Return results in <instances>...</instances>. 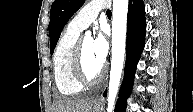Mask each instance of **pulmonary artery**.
Here are the masks:
<instances>
[{
  "label": "pulmonary artery",
  "instance_id": "e3ab8cb5",
  "mask_svg": "<svg viewBox=\"0 0 193 112\" xmlns=\"http://www.w3.org/2000/svg\"><path fill=\"white\" fill-rule=\"evenodd\" d=\"M109 3L104 0H93L85 5L70 21L69 25L79 31L86 29L98 16L102 9H107Z\"/></svg>",
  "mask_w": 193,
  "mask_h": 112
}]
</instances>
